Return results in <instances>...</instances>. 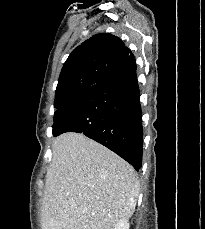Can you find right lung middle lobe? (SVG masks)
I'll return each mask as SVG.
<instances>
[{"instance_id":"obj_1","label":"right lung middle lobe","mask_w":205,"mask_h":229,"mask_svg":"<svg viewBox=\"0 0 205 229\" xmlns=\"http://www.w3.org/2000/svg\"><path fill=\"white\" fill-rule=\"evenodd\" d=\"M76 97V96H75ZM74 98V97H73ZM73 98H68V99H64V100H62L61 102H60V105H59V107H55L57 110L58 109H60V108H62L63 106H65L68 102H70Z\"/></svg>"}]
</instances>
